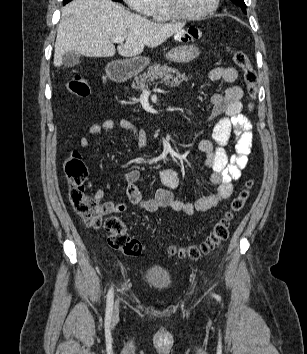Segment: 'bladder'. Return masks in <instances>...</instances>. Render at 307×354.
<instances>
[{
  "label": "bladder",
  "mask_w": 307,
  "mask_h": 354,
  "mask_svg": "<svg viewBox=\"0 0 307 354\" xmlns=\"http://www.w3.org/2000/svg\"><path fill=\"white\" fill-rule=\"evenodd\" d=\"M145 281L156 288H166L172 281L171 272L163 266H153L144 272Z\"/></svg>",
  "instance_id": "bladder-1"
}]
</instances>
